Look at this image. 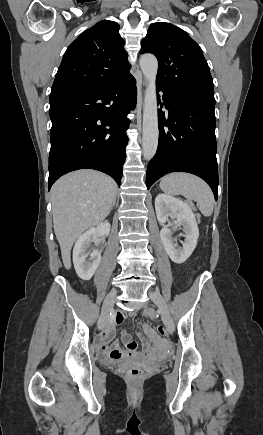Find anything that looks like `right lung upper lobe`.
<instances>
[{"label": "right lung upper lobe", "instance_id": "cb5924a9", "mask_svg": "<svg viewBox=\"0 0 263 435\" xmlns=\"http://www.w3.org/2000/svg\"><path fill=\"white\" fill-rule=\"evenodd\" d=\"M119 29L118 23L102 20L70 44L57 71L50 102L90 92L130 74Z\"/></svg>", "mask_w": 263, "mask_h": 435}]
</instances>
